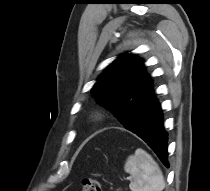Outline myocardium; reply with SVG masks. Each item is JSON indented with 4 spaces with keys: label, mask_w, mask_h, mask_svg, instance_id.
<instances>
[{
    "label": "myocardium",
    "mask_w": 210,
    "mask_h": 191,
    "mask_svg": "<svg viewBox=\"0 0 210 191\" xmlns=\"http://www.w3.org/2000/svg\"><path fill=\"white\" fill-rule=\"evenodd\" d=\"M106 119V113L103 110H96L90 116V121L92 123H101Z\"/></svg>",
    "instance_id": "1"
}]
</instances>
